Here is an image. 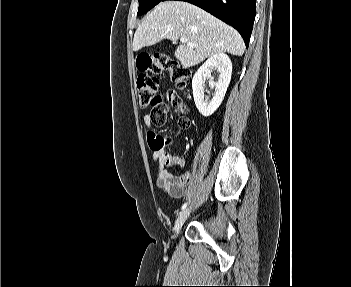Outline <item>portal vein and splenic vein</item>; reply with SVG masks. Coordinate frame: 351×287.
I'll return each mask as SVG.
<instances>
[{
	"mask_svg": "<svg viewBox=\"0 0 351 287\" xmlns=\"http://www.w3.org/2000/svg\"><path fill=\"white\" fill-rule=\"evenodd\" d=\"M180 41H181V43H186V44H187L188 46H190V47H195V46H196L195 44L189 42V41L186 40L185 38H181Z\"/></svg>",
	"mask_w": 351,
	"mask_h": 287,
	"instance_id": "portal-vein-and-splenic-vein-1",
	"label": "portal vein and splenic vein"
}]
</instances>
